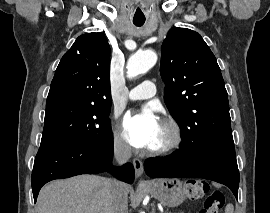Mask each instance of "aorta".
I'll return each mask as SVG.
<instances>
[{"mask_svg": "<svg viewBox=\"0 0 270 213\" xmlns=\"http://www.w3.org/2000/svg\"><path fill=\"white\" fill-rule=\"evenodd\" d=\"M157 62V54L152 50L140 51L133 54L127 62V76L136 77L146 73Z\"/></svg>", "mask_w": 270, "mask_h": 213, "instance_id": "aorta-1", "label": "aorta"}]
</instances>
